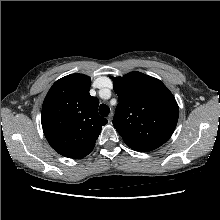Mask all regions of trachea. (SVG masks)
I'll use <instances>...</instances> for the list:
<instances>
[{"mask_svg":"<svg viewBox=\"0 0 220 220\" xmlns=\"http://www.w3.org/2000/svg\"><path fill=\"white\" fill-rule=\"evenodd\" d=\"M109 112H110V108L107 105H105V104L100 105L99 113H100L101 116L107 117Z\"/></svg>","mask_w":220,"mask_h":220,"instance_id":"3493384b","label":"trachea"}]
</instances>
